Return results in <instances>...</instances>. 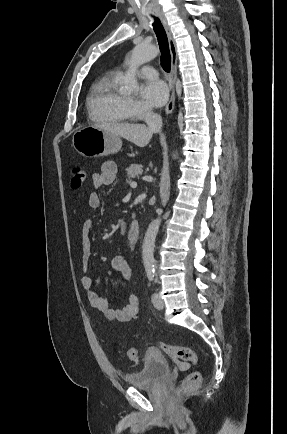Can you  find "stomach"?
<instances>
[{"label": "stomach", "mask_w": 287, "mask_h": 434, "mask_svg": "<svg viewBox=\"0 0 287 434\" xmlns=\"http://www.w3.org/2000/svg\"><path fill=\"white\" fill-rule=\"evenodd\" d=\"M74 149L85 157L96 158L120 151L122 140L119 136L95 126L78 129L72 138Z\"/></svg>", "instance_id": "stomach-1"}]
</instances>
